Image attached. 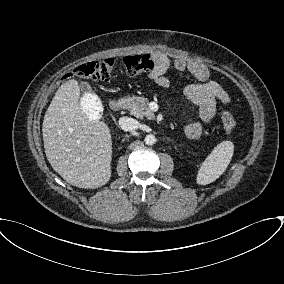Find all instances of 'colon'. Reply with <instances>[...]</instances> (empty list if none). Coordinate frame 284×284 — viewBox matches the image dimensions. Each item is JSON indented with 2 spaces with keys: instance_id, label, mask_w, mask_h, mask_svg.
<instances>
[{
  "instance_id": "1",
  "label": "colon",
  "mask_w": 284,
  "mask_h": 284,
  "mask_svg": "<svg viewBox=\"0 0 284 284\" xmlns=\"http://www.w3.org/2000/svg\"><path fill=\"white\" fill-rule=\"evenodd\" d=\"M121 65L129 75H140L150 72L154 68V61L149 55H129L121 60L107 58L90 61L75 67L67 77H77L93 81H108L114 76L115 69ZM221 119L224 129L231 134L235 128V120L230 111L223 109Z\"/></svg>"
}]
</instances>
